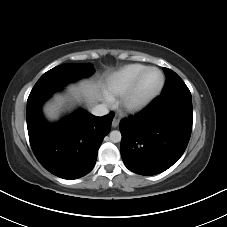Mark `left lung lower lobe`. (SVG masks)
I'll list each match as a JSON object with an SVG mask.
<instances>
[{"label":"left lung lower lobe","mask_w":227,"mask_h":227,"mask_svg":"<svg viewBox=\"0 0 227 227\" xmlns=\"http://www.w3.org/2000/svg\"><path fill=\"white\" fill-rule=\"evenodd\" d=\"M192 99L158 97L142 112L120 122L121 156L140 175L171 167L184 153L192 130Z\"/></svg>","instance_id":"1"}]
</instances>
